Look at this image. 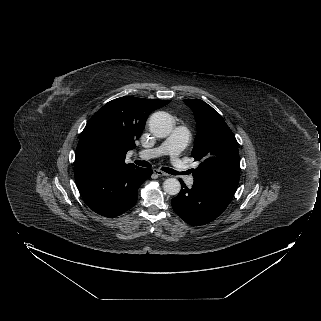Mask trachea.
Returning a JSON list of instances; mask_svg holds the SVG:
<instances>
[{
	"mask_svg": "<svg viewBox=\"0 0 321 321\" xmlns=\"http://www.w3.org/2000/svg\"><path fill=\"white\" fill-rule=\"evenodd\" d=\"M135 164H137L138 166H142V167H151V164L147 161L138 160V161H135ZM161 170H163L164 172L169 173L171 175L188 174V171H184V172L180 173V172H177V171L173 170L172 168H168V167H163V168H161Z\"/></svg>",
	"mask_w": 321,
	"mask_h": 321,
	"instance_id": "obj_1",
	"label": "trachea"
}]
</instances>
